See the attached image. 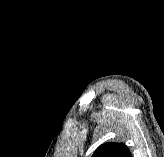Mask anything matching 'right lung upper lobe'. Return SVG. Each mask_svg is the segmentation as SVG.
Wrapping results in <instances>:
<instances>
[{"label":"right lung upper lobe","mask_w":164,"mask_h":157,"mask_svg":"<svg viewBox=\"0 0 164 157\" xmlns=\"http://www.w3.org/2000/svg\"><path fill=\"white\" fill-rule=\"evenodd\" d=\"M91 157H131V152L123 143L108 142L100 145Z\"/></svg>","instance_id":"cb5924a9"}]
</instances>
